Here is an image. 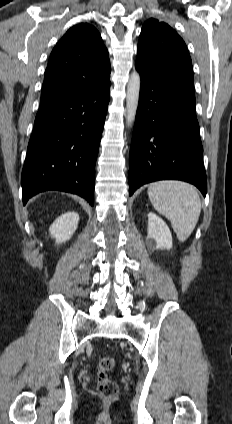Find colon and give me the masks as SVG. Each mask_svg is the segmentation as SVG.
I'll use <instances>...</instances> for the list:
<instances>
[{
  "mask_svg": "<svg viewBox=\"0 0 232 424\" xmlns=\"http://www.w3.org/2000/svg\"><path fill=\"white\" fill-rule=\"evenodd\" d=\"M114 365L115 360L111 356L101 358L98 364L96 388L104 398H114L118 394L117 383L108 377V373L114 368Z\"/></svg>",
  "mask_w": 232,
  "mask_h": 424,
  "instance_id": "5ec220e1",
  "label": "colon"
}]
</instances>
